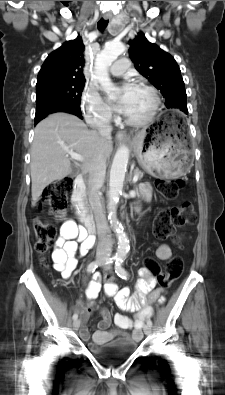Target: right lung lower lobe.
Listing matches in <instances>:
<instances>
[{
  "label": "right lung lower lobe",
  "instance_id": "1",
  "mask_svg": "<svg viewBox=\"0 0 225 395\" xmlns=\"http://www.w3.org/2000/svg\"><path fill=\"white\" fill-rule=\"evenodd\" d=\"M55 112H68V113L76 115V116H78V117H80L82 119L80 106H78V105H64V106H60V107L54 108L51 111L43 114L40 117H35V124H37L40 120L45 118L48 114L55 113Z\"/></svg>",
  "mask_w": 225,
  "mask_h": 395
}]
</instances>
